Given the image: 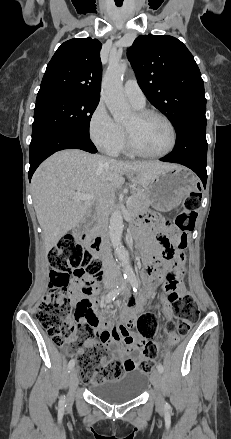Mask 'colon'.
I'll return each mask as SVG.
<instances>
[{"instance_id": "1", "label": "colon", "mask_w": 231, "mask_h": 439, "mask_svg": "<svg viewBox=\"0 0 231 439\" xmlns=\"http://www.w3.org/2000/svg\"><path fill=\"white\" fill-rule=\"evenodd\" d=\"M201 195L192 193L183 203V210L175 217L174 225L179 233L176 239L180 243L187 241L188 233L194 229L195 219L200 207ZM154 221L162 228H170L169 221L154 216ZM160 241L168 240L159 234ZM172 257V256H171ZM50 289L43 301L38 305L37 318L54 345L67 347L69 352L77 353L76 361L83 382L91 383L99 380L117 381L122 378L126 367L123 362L111 361L107 350L94 341L92 331L87 328L77 329L75 316L83 313L87 307L84 302L73 303V294L77 289L85 293L94 290L95 284L102 277L101 261L83 245L77 242L72 234L65 235L49 252ZM177 274L166 273V281L176 280ZM172 309L166 312V331L172 341L185 336L198 320L199 308L190 293L180 294L173 291L167 297ZM158 318L152 313L140 316L137 329L144 338H152L157 329ZM86 347V351L79 350ZM146 357L136 364L138 368L150 373L154 367V359L158 355L155 342L149 340L143 346ZM127 369L135 368L132 361L127 362Z\"/></svg>"}]
</instances>
